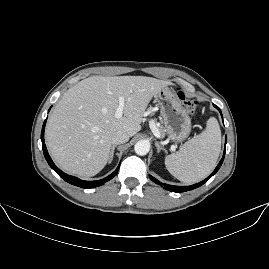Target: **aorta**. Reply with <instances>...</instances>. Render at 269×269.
Instances as JSON below:
<instances>
[{"mask_svg":"<svg viewBox=\"0 0 269 269\" xmlns=\"http://www.w3.org/2000/svg\"><path fill=\"white\" fill-rule=\"evenodd\" d=\"M150 150V145L146 141H138L134 146V151L139 156L146 155Z\"/></svg>","mask_w":269,"mask_h":269,"instance_id":"obj_1","label":"aorta"}]
</instances>
